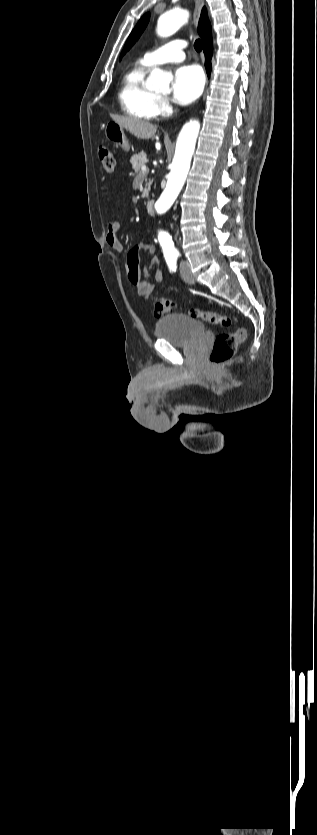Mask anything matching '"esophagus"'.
<instances>
[{
    "instance_id": "obj_1",
    "label": "esophagus",
    "mask_w": 317,
    "mask_h": 835,
    "mask_svg": "<svg viewBox=\"0 0 317 835\" xmlns=\"http://www.w3.org/2000/svg\"><path fill=\"white\" fill-rule=\"evenodd\" d=\"M203 5H204V0H195V9H194V13H193V21H194L195 25L198 24Z\"/></svg>"
}]
</instances>
